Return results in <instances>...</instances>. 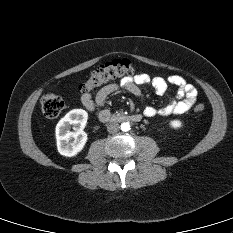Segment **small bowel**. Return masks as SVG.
Returning <instances> with one entry per match:
<instances>
[{
	"label": "small bowel",
	"instance_id": "1",
	"mask_svg": "<svg viewBox=\"0 0 233 233\" xmlns=\"http://www.w3.org/2000/svg\"><path fill=\"white\" fill-rule=\"evenodd\" d=\"M147 85H150L158 95L164 94L169 85L177 87L176 98L172 99L167 106L162 108L146 106L143 113L147 117H153L156 115L170 116L184 114L192 108L198 99V92L196 88L187 83L180 75H171L164 78L150 77L148 74L140 73L134 77L123 78L119 84H109L102 87L94 98L89 93L82 94L81 103L88 111L91 112L96 111L97 107H101L102 109L97 112V115L101 120L103 115H110V111L104 108L106 100L110 95L122 88L142 99L143 94L141 87Z\"/></svg>",
	"mask_w": 233,
	"mask_h": 233
}]
</instances>
